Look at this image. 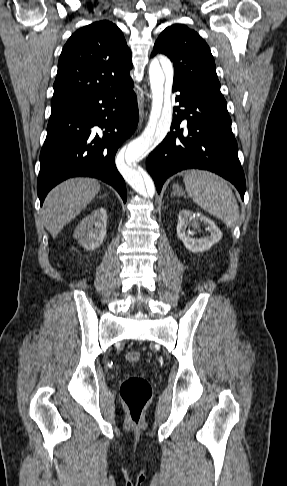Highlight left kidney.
<instances>
[{
  "label": "left kidney",
  "mask_w": 287,
  "mask_h": 486,
  "mask_svg": "<svg viewBox=\"0 0 287 486\" xmlns=\"http://www.w3.org/2000/svg\"><path fill=\"white\" fill-rule=\"evenodd\" d=\"M191 221L202 222L207 227L210 235H206L199 239L193 238V233L191 231H187V226L191 223ZM177 235L178 238L183 242L186 249L193 253L209 250L222 238V232L211 219L207 218L201 213H194L186 209L180 211L178 215Z\"/></svg>",
  "instance_id": "1"
}]
</instances>
